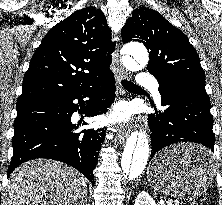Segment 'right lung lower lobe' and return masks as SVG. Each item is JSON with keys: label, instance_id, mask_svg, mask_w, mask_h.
<instances>
[{"label": "right lung lower lobe", "instance_id": "right-lung-lower-lobe-1", "mask_svg": "<svg viewBox=\"0 0 222 205\" xmlns=\"http://www.w3.org/2000/svg\"><path fill=\"white\" fill-rule=\"evenodd\" d=\"M87 97L89 100L85 106L83 99ZM75 99H78L77 104L73 103ZM114 99L115 79L110 73L68 96L18 100L8 176L28 160L48 158L71 165L94 184L93 170L105 139V130L75 132L80 125L87 123L79 121L74 124L71 116L76 111L86 113L88 117L106 113Z\"/></svg>", "mask_w": 222, "mask_h": 205}]
</instances>
